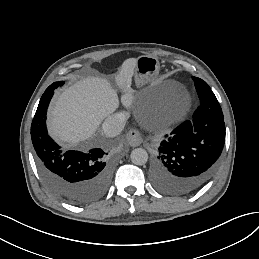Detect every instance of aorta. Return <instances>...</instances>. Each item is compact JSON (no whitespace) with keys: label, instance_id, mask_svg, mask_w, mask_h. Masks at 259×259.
I'll return each instance as SVG.
<instances>
[{"label":"aorta","instance_id":"obj_1","mask_svg":"<svg viewBox=\"0 0 259 259\" xmlns=\"http://www.w3.org/2000/svg\"><path fill=\"white\" fill-rule=\"evenodd\" d=\"M130 158L135 165H144L148 160V153L143 148H136L132 150Z\"/></svg>","mask_w":259,"mask_h":259}]
</instances>
